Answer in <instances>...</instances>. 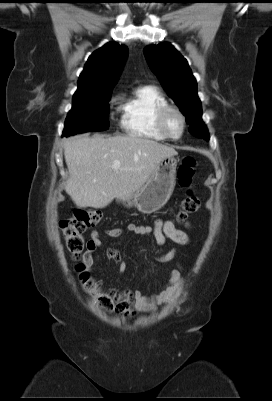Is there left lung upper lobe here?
<instances>
[{
  "instance_id": "1",
  "label": "left lung upper lobe",
  "mask_w": 272,
  "mask_h": 401,
  "mask_svg": "<svg viewBox=\"0 0 272 401\" xmlns=\"http://www.w3.org/2000/svg\"><path fill=\"white\" fill-rule=\"evenodd\" d=\"M144 54L163 88L186 116L190 124L189 132L208 141L209 134L202 121L201 101L197 95V82L187 60L170 43L146 46Z\"/></svg>"
}]
</instances>
